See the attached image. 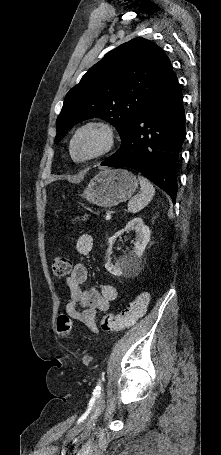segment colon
<instances>
[{"label": "colon", "instance_id": "obj_1", "mask_svg": "<svg viewBox=\"0 0 221 455\" xmlns=\"http://www.w3.org/2000/svg\"><path fill=\"white\" fill-rule=\"evenodd\" d=\"M51 268L55 276L65 277L70 274L72 264L68 258L57 256L52 260ZM149 300L148 293H140L121 312L104 316L103 329L108 332H116L133 327L137 320L145 315ZM57 332L62 339L68 340L72 337V321L68 316L60 315L58 317Z\"/></svg>", "mask_w": 221, "mask_h": 455}]
</instances>
